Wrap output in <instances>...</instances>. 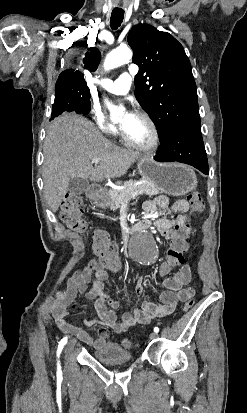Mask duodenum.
<instances>
[{
    "label": "duodenum",
    "instance_id": "1",
    "mask_svg": "<svg viewBox=\"0 0 247 413\" xmlns=\"http://www.w3.org/2000/svg\"><path fill=\"white\" fill-rule=\"evenodd\" d=\"M100 193H101V189L98 185H91L87 191V197L89 200L91 201H97L99 200L100 197ZM149 222L146 220H142L139 221L135 224H133L130 228L128 233H135V232H139L142 231L146 228L149 227ZM127 239V234L125 235V240Z\"/></svg>",
    "mask_w": 247,
    "mask_h": 413
}]
</instances>
